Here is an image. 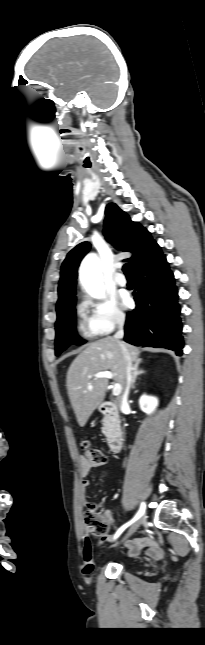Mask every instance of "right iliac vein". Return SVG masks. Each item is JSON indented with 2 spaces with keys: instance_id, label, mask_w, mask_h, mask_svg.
Returning a JSON list of instances; mask_svg holds the SVG:
<instances>
[{
  "instance_id": "obj_1",
  "label": "right iliac vein",
  "mask_w": 205,
  "mask_h": 645,
  "mask_svg": "<svg viewBox=\"0 0 205 645\" xmlns=\"http://www.w3.org/2000/svg\"><path fill=\"white\" fill-rule=\"evenodd\" d=\"M143 521H144V516H141L140 518H138V519H137V520H136V521L131 525V527L129 528V530L126 532V534H125V535H124V537H123V540H126V539H128L130 536H132V535H133V533H134V532L139 528V526L142 524V522H143Z\"/></svg>"
}]
</instances>
